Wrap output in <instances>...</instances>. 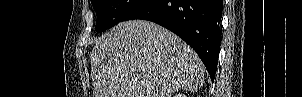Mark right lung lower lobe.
<instances>
[{
  "label": "right lung lower lobe",
  "instance_id": "obj_1",
  "mask_svg": "<svg viewBox=\"0 0 302 97\" xmlns=\"http://www.w3.org/2000/svg\"><path fill=\"white\" fill-rule=\"evenodd\" d=\"M222 0H141L122 21L144 19L171 30L189 44L214 80L220 48Z\"/></svg>",
  "mask_w": 302,
  "mask_h": 97
}]
</instances>
